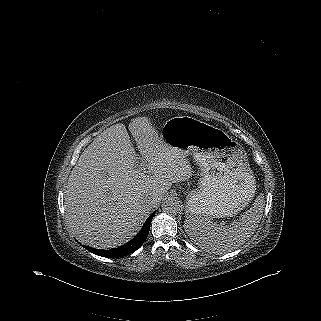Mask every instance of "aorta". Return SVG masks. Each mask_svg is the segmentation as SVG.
<instances>
[{"instance_id":"1","label":"aorta","mask_w":321,"mask_h":321,"mask_svg":"<svg viewBox=\"0 0 321 321\" xmlns=\"http://www.w3.org/2000/svg\"><path fill=\"white\" fill-rule=\"evenodd\" d=\"M162 209L165 213L177 214L181 209V205L175 197L170 196L167 197L162 203Z\"/></svg>"}]
</instances>
